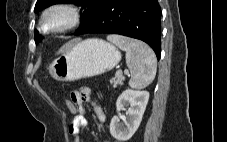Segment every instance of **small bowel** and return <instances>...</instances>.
Returning a JSON list of instances; mask_svg holds the SVG:
<instances>
[{"instance_id": "c3829d8e", "label": "small bowel", "mask_w": 227, "mask_h": 142, "mask_svg": "<svg viewBox=\"0 0 227 142\" xmlns=\"http://www.w3.org/2000/svg\"><path fill=\"white\" fill-rule=\"evenodd\" d=\"M91 95L92 90L88 87H83L80 90L72 91L70 94L72 102L78 107L80 111V116L74 118V120L71 122L69 126V133L74 138V142H80L79 133L87 125L86 111L83 106L84 103L86 102L91 103V105L94 107L96 116L100 122H105L107 120V116L102 110V108L93 101H91Z\"/></svg>"}]
</instances>
